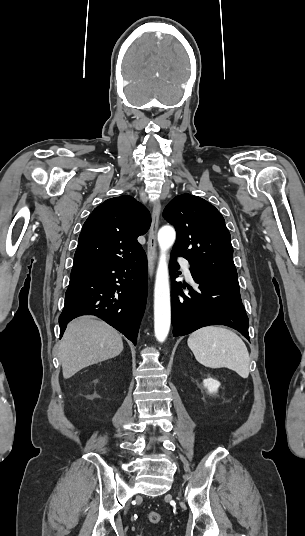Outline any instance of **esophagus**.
Wrapping results in <instances>:
<instances>
[{
  "mask_svg": "<svg viewBox=\"0 0 305 536\" xmlns=\"http://www.w3.org/2000/svg\"><path fill=\"white\" fill-rule=\"evenodd\" d=\"M160 211H161V203L159 200H157L155 202V205L152 211V220H151V226L149 229V236H148V241H147V259H148V266H149V276L151 279L154 274V269H155L156 260L158 256L157 231H158Z\"/></svg>",
  "mask_w": 305,
  "mask_h": 536,
  "instance_id": "34e87169",
  "label": "esophagus"
}]
</instances>
